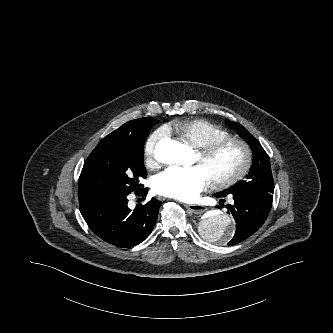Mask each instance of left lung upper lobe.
<instances>
[{
	"instance_id": "1",
	"label": "left lung upper lobe",
	"mask_w": 333,
	"mask_h": 333,
	"mask_svg": "<svg viewBox=\"0 0 333 333\" xmlns=\"http://www.w3.org/2000/svg\"><path fill=\"white\" fill-rule=\"evenodd\" d=\"M232 127L252 148L254 162L248 176L224 192L226 194H255L273 199L274 181L269 156L261 144L242 125L235 123L232 124Z\"/></svg>"
}]
</instances>
